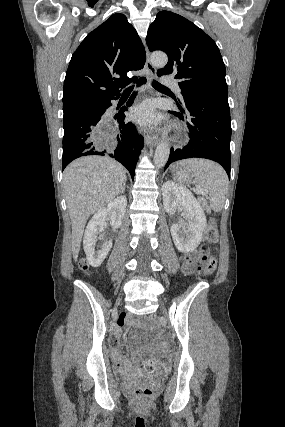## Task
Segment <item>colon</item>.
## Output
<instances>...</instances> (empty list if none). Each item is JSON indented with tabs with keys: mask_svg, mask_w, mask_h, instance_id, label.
<instances>
[{
	"mask_svg": "<svg viewBox=\"0 0 285 427\" xmlns=\"http://www.w3.org/2000/svg\"><path fill=\"white\" fill-rule=\"evenodd\" d=\"M217 241L218 231L214 224L211 223L206 230L205 243L202 245L200 253L196 257L187 258L184 264V270L186 272L211 273L215 269L216 260L208 253V245H214ZM79 266L82 271L88 272L89 266L85 260H81ZM141 364L146 371L154 372L158 370L162 362L158 359L142 357ZM135 395L139 402L148 403L152 401L153 390L150 386H138L135 389Z\"/></svg>",
	"mask_w": 285,
	"mask_h": 427,
	"instance_id": "5ec220e1",
	"label": "colon"
}]
</instances>
